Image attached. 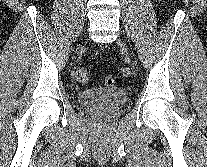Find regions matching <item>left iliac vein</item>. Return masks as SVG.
Listing matches in <instances>:
<instances>
[{"mask_svg": "<svg viewBox=\"0 0 207 167\" xmlns=\"http://www.w3.org/2000/svg\"><path fill=\"white\" fill-rule=\"evenodd\" d=\"M118 44L120 45V47L127 52V48L124 46L123 42L121 40L118 41Z\"/></svg>", "mask_w": 207, "mask_h": 167, "instance_id": "4c4485c4", "label": "left iliac vein"}]
</instances>
